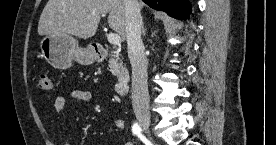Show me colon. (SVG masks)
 Segmentation results:
<instances>
[{
	"instance_id": "5ec220e1",
	"label": "colon",
	"mask_w": 276,
	"mask_h": 145,
	"mask_svg": "<svg viewBox=\"0 0 276 145\" xmlns=\"http://www.w3.org/2000/svg\"><path fill=\"white\" fill-rule=\"evenodd\" d=\"M52 87L50 75L47 72L39 73L36 80V89L39 91H49Z\"/></svg>"
}]
</instances>
